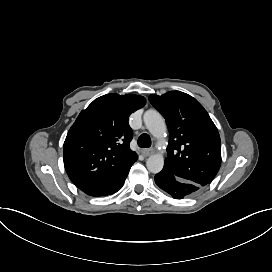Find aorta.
<instances>
[{"label":"aorta","instance_id":"aorta-1","mask_svg":"<svg viewBox=\"0 0 272 272\" xmlns=\"http://www.w3.org/2000/svg\"><path fill=\"white\" fill-rule=\"evenodd\" d=\"M144 123L149 133L157 139L158 152L152 154L146 160L147 169L152 173H158L164 166V152L162 146L166 142L167 126L165 119L155 110H148L144 114ZM162 149V151H161Z\"/></svg>","mask_w":272,"mask_h":272}]
</instances>
